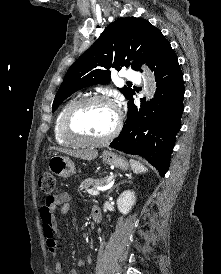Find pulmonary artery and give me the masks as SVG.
<instances>
[{
	"instance_id": "obj_1",
	"label": "pulmonary artery",
	"mask_w": 221,
	"mask_h": 274,
	"mask_svg": "<svg viewBox=\"0 0 221 274\" xmlns=\"http://www.w3.org/2000/svg\"><path fill=\"white\" fill-rule=\"evenodd\" d=\"M124 78L129 81H139L140 80V75L137 71L128 69L124 73Z\"/></svg>"
}]
</instances>
